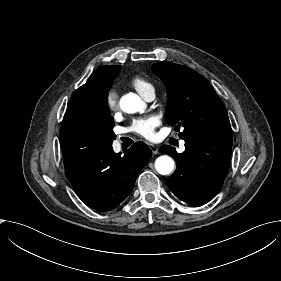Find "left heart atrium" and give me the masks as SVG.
<instances>
[{"label": "left heart atrium", "mask_w": 281, "mask_h": 281, "mask_svg": "<svg viewBox=\"0 0 281 281\" xmlns=\"http://www.w3.org/2000/svg\"><path fill=\"white\" fill-rule=\"evenodd\" d=\"M161 123L159 116L151 114L133 121L130 130L146 139L153 140L156 138L155 128Z\"/></svg>", "instance_id": "obj_1"}]
</instances>
